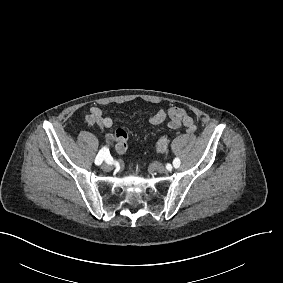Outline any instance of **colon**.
<instances>
[{
	"label": "colon",
	"instance_id": "1",
	"mask_svg": "<svg viewBox=\"0 0 283 283\" xmlns=\"http://www.w3.org/2000/svg\"><path fill=\"white\" fill-rule=\"evenodd\" d=\"M169 143V138L167 135L161 136L155 143V150L157 152L163 151L167 148Z\"/></svg>",
	"mask_w": 283,
	"mask_h": 283
}]
</instances>
